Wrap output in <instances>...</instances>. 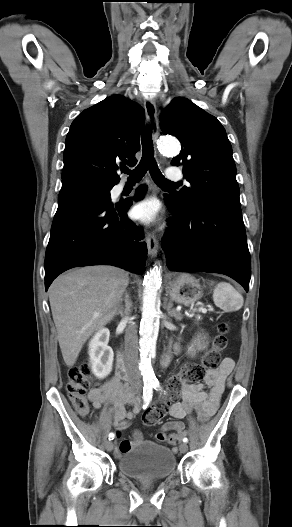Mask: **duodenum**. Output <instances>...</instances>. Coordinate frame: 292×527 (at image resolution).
Segmentation results:
<instances>
[{
  "label": "duodenum",
  "mask_w": 292,
  "mask_h": 527,
  "mask_svg": "<svg viewBox=\"0 0 292 527\" xmlns=\"http://www.w3.org/2000/svg\"><path fill=\"white\" fill-rule=\"evenodd\" d=\"M116 375L125 383L129 381L125 362L121 354H118L117 356Z\"/></svg>",
  "instance_id": "duodenum-1"
}]
</instances>
